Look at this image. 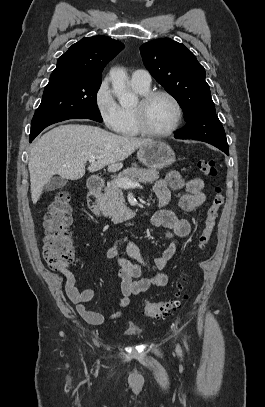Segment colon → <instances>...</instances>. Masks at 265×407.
I'll return each instance as SVG.
<instances>
[{
    "instance_id": "5ec220e1",
    "label": "colon",
    "mask_w": 265,
    "mask_h": 407,
    "mask_svg": "<svg viewBox=\"0 0 265 407\" xmlns=\"http://www.w3.org/2000/svg\"><path fill=\"white\" fill-rule=\"evenodd\" d=\"M198 170L208 176L215 177L217 169L212 159H199ZM223 189L217 186L214 189L212 200L207 208L203 226L197 240V248L204 250L213 234L218 213L224 203ZM72 205L71 195L68 192H59L49 204L44 217V235L42 239V252L46 264L53 269H62L75 259V250L69 237L67 227L71 221ZM183 279L175 297L161 302H146L144 314L152 319L166 318L175 312L181 303L188 299Z\"/></svg>"
}]
</instances>
